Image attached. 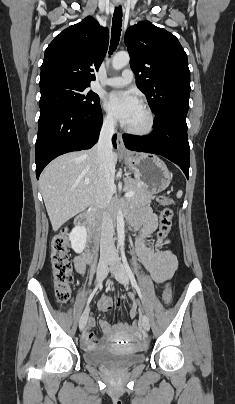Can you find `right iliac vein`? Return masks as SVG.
Instances as JSON below:
<instances>
[{
  "mask_svg": "<svg viewBox=\"0 0 235 404\" xmlns=\"http://www.w3.org/2000/svg\"><path fill=\"white\" fill-rule=\"evenodd\" d=\"M107 272V259L101 261L97 268V282L100 283L105 278ZM87 323V315L81 317L79 322V329L82 331Z\"/></svg>",
  "mask_w": 235,
  "mask_h": 404,
  "instance_id": "obj_1",
  "label": "right iliac vein"
}]
</instances>
